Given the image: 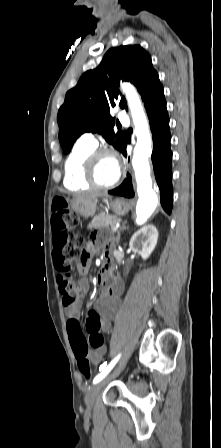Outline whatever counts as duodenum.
<instances>
[{"instance_id": "duodenum-1", "label": "duodenum", "mask_w": 221, "mask_h": 448, "mask_svg": "<svg viewBox=\"0 0 221 448\" xmlns=\"http://www.w3.org/2000/svg\"><path fill=\"white\" fill-rule=\"evenodd\" d=\"M106 257H107V261H108V263H110V262H111V254H110V253H107V254H106ZM104 269H105V268L102 269V271L100 272V275H99V277H100V281H101L102 285H104V284L107 283L106 275H105V273L103 272Z\"/></svg>"}]
</instances>
